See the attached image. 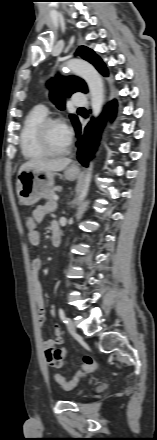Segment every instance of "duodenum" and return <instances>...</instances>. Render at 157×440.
Instances as JSON below:
<instances>
[{"label": "duodenum", "mask_w": 157, "mask_h": 440, "mask_svg": "<svg viewBox=\"0 0 157 440\" xmlns=\"http://www.w3.org/2000/svg\"><path fill=\"white\" fill-rule=\"evenodd\" d=\"M51 243L53 246H58L61 243V232L59 227L52 228Z\"/></svg>", "instance_id": "1"}]
</instances>
